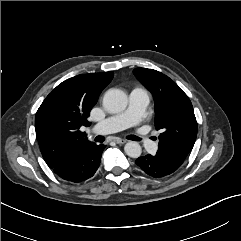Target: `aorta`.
Returning a JSON list of instances; mask_svg holds the SVG:
<instances>
[{
    "mask_svg": "<svg viewBox=\"0 0 241 241\" xmlns=\"http://www.w3.org/2000/svg\"><path fill=\"white\" fill-rule=\"evenodd\" d=\"M127 103L126 93L119 89H109L103 97V106L109 113L122 112L126 109ZM124 151L126 155L132 158H138L142 153L141 146L135 141L126 143Z\"/></svg>",
    "mask_w": 241,
    "mask_h": 241,
    "instance_id": "obj_1",
    "label": "aorta"
}]
</instances>
